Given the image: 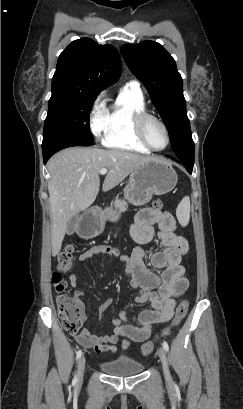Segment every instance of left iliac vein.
<instances>
[{
	"instance_id": "1",
	"label": "left iliac vein",
	"mask_w": 243,
	"mask_h": 409,
	"mask_svg": "<svg viewBox=\"0 0 243 409\" xmlns=\"http://www.w3.org/2000/svg\"><path fill=\"white\" fill-rule=\"evenodd\" d=\"M158 354H159V358H160V361H161V364H162V367H163V373H164L165 379L169 380L170 379V371H169V367H168L166 352H165L163 347H159Z\"/></svg>"
}]
</instances>
